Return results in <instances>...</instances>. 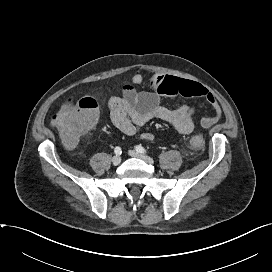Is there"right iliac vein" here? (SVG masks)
Instances as JSON below:
<instances>
[{"instance_id": "right-iliac-vein-1", "label": "right iliac vein", "mask_w": 272, "mask_h": 272, "mask_svg": "<svg viewBox=\"0 0 272 272\" xmlns=\"http://www.w3.org/2000/svg\"><path fill=\"white\" fill-rule=\"evenodd\" d=\"M121 162V157L119 155H116L112 158V163L113 165L117 166L119 165Z\"/></svg>"}]
</instances>
